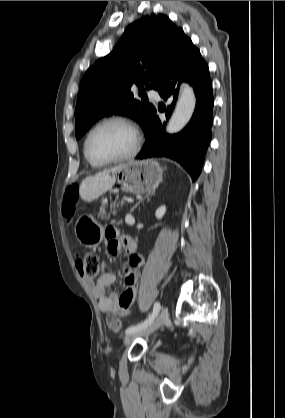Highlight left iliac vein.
Wrapping results in <instances>:
<instances>
[{"instance_id":"4c4485c4","label":"left iliac vein","mask_w":285,"mask_h":418,"mask_svg":"<svg viewBox=\"0 0 285 418\" xmlns=\"http://www.w3.org/2000/svg\"><path fill=\"white\" fill-rule=\"evenodd\" d=\"M169 320V314L167 309H162L157 318L147 325L145 328L135 331L133 333H129L126 335L124 339V344H130L138 337L147 336L152 334L158 328H160L163 324H165Z\"/></svg>"}]
</instances>
